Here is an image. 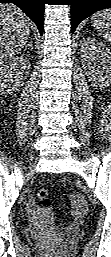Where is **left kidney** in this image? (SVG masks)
Returning a JSON list of instances; mask_svg holds the SVG:
<instances>
[{
    "instance_id": "5707ae66",
    "label": "left kidney",
    "mask_w": 111,
    "mask_h": 257,
    "mask_svg": "<svg viewBox=\"0 0 111 257\" xmlns=\"http://www.w3.org/2000/svg\"><path fill=\"white\" fill-rule=\"evenodd\" d=\"M84 69L94 85L107 86L111 81V52L95 38L80 41Z\"/></svg>"
}]
</instances>
